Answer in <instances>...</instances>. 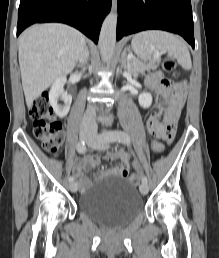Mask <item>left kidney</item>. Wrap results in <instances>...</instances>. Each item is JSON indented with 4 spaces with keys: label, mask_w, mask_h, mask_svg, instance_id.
<instances>
[{
    "label": "left kidney",
    "mask_w": 219,
    "mask_h": 258,
    "mask_svg": "<svg viewBox=\"0 0 219 258\" xmlns=\"http://www.w3.org/2000/svg\"><path fill=\"white\" fill-rule=\"evenodd\" d=\"M140 106L149 108L152 104V96L148 92L141 93L138 98Z\"/></svg>",
    "instance_id": "5707ae66"
}]
</instances>
